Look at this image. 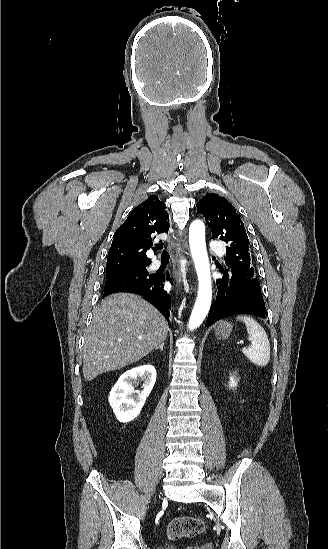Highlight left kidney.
Returning a JSON list of instances; mask_svg holds the SVG:
<instances>
[{
    "label": "left kidney",
    "instance_id": "obj_1",
    "mask_svg": "<svg viewBox=\"0 0 328 549\" xmlns=\"http://www.w3.org/2000/svg\"><path fill=\"white\" fill-rule=\"evenodd\" d=\"M230 381H231L230 387H237V383L236 381H234V377H231Z\"/></svg>",
    "mask_w": 328,
    "mask_h": 549
}]
</instances>
